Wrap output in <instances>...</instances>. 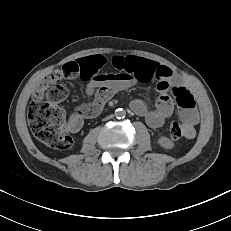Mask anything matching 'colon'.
<instances>
[{
    "mask_svg": "<svg viewBox=\"0 0 231 231\" xmlns=\"http://www.w3.org/2000/svg\"><path fill=\"white\" fill-rule=\"evenodd\" d=\"M73 64L64 65L63 72L66 76L78 73V67ZM77 68V69H76ZM68 96V89L62 84H50L45 88L41 97H34L29 109V126L34 136L44 144L59 149L67 150L72 146V138L68 134L69 128L79 124L81 117L73 114L65 121V113L59 103ZM172 139L178 140L184 136V126L173 121L169 126Z\"/></svg>",
    "mask_w": 231,
    "mask_h": 231,
    "instance_id": "colon-1",
    "label": "colon"
}]
</instances>
